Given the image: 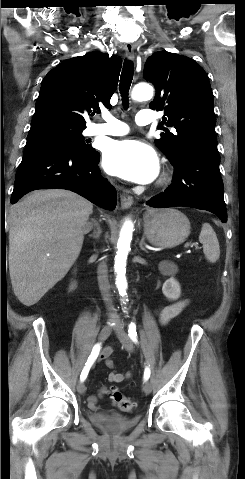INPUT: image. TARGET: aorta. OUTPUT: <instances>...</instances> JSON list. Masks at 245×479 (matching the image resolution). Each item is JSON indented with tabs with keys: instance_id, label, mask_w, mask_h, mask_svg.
Returning <instances> with one entry per match:
<instances>
[{
	"instance_id": "1",
	"label": "aorta",
	"mask_w": 245,
	"mask_h": 479,
	"mask_svg": "<svg viewBox=\"0 0 245 479\" xmlns=\"http://www.w3.org/2000/svg\"><path fill=\"white\" fill-rule=\"evenodd\" d=\"M153 96V88L147 84H137L132 90V99L136 101L149 100ZM133 223L131 220L125 221L117 242V254L115 256L114 269L117 274L116 286L121 296L126 295V260L130 250L132 239Z\"/></svg>"
}]
</instances>
